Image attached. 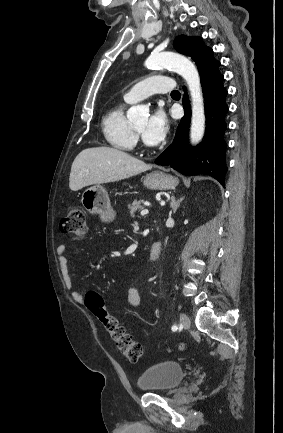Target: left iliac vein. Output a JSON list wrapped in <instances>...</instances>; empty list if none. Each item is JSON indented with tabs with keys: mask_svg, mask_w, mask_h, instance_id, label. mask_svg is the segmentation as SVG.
<instances>
[{
	"mask_svg": "<svg viewBox=\"0 0 283 433\" xmlns=\"http://www.w3.org/2000/svg\"><path fill=\"white\" fill-rule=\"evenodd\" d=\"M180 323L184 328L190 327V319L185 313L180 314Z\"/></svg>",
	"mask_w": 283,
	"mask_h": 433,
	"instance_id": "4c4485c4",
	"label": "left iliac vein"
}]
</instances>
